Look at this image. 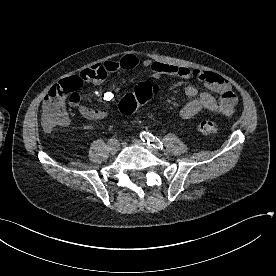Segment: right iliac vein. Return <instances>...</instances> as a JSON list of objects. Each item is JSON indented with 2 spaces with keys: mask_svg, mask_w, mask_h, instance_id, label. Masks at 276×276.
<instances>
[{
  "mask_svg": "<svg viewBox=\"0 0 276 276\" xmlns=\"http://www.w3.org/2000/svg\"><path fill=\"white\" fill-rule=\"evenodd\" d=\"M120 149V145H109V151L111 154H115Z\"/></svg>",
  "mask_w": 276,
  "mask_h": 276,
  "instance_id": "63e3f726",
  "label": "right iliac vein"
}]
</instances>
